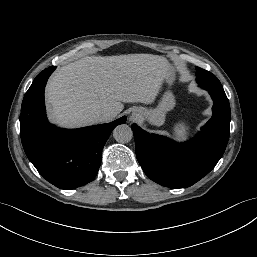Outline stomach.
<instances>
[{"label":"stomach","mask_w":257,"mask_h":257,"mask_svg":"<svg viewBox=\"0 0 257 257\" xmlns=\"http://www.w3.org/2000/svg\"><path fill=\"white\" fill-rule=\"evenodd\" d=\"M164 81L169 87H171L175 81V73L170 66ZM175 104L176 100L173 93L170 90H167L156 108L148 109L139 107L136 108L135 111H140L142 113V117L151 125L161 126L165 122L167 112L172 110L175 107Z\"/></svg>","instance_id":"stomach-1"}]
</instances>
